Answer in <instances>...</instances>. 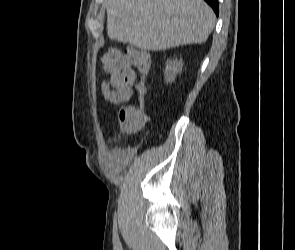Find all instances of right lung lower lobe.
Returning <instances> with one entry per match:
<instances>
[{"label":"right lung lower lobe","instance_id":"98d812e1","mask_svg":"<svg viewBox=\"0 0 295 250\" xmlns=\"http://www.w3.org/2000/svg\"><path fill=\"white\" fill-rule=\"evenodd\" d=\"M214 10L216 15L219 14L218 0H205Z\"/></svg>","mask_w":295,"mask_h":250}]
</instances>
